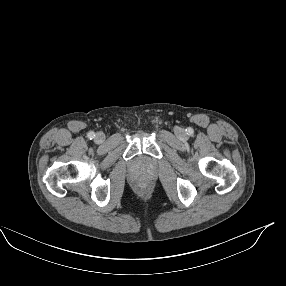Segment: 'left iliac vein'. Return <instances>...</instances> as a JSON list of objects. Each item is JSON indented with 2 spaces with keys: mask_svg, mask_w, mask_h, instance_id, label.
<instances>
[{
  "mask_svg": "<svg viewBox=\"0 0 286 286\" xmlns=\"http://www.w3.org/2000/svg\"><path fill=\"white\" fill-rule=\"evenodd\" d=\"M178 135H179V137H183V131H182V130H179V131H178Z\"/></svg>",
  "mask_w": 286,
  "mask_h": 286,
  "instance_id": "obj_1",
  "label": "left iliac vein"
}]
</instances>
